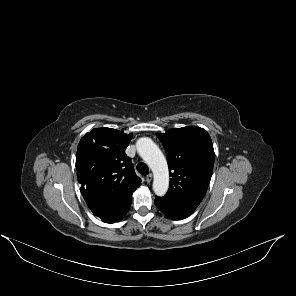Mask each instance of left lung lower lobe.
I'll list each match as a JSON object with an SVG mask.
<instances>
[{
    "instance_id": "0a47b994",
    "label": "left lung lower lobe",
    "mask_w": 296,
    "mask_h": 296,
    "mask_svg": "<svg viewBox=\"0 0 296 296\" xmlns=\"http://www.w3.org/2000/svg\"><path fill=\"white\" fill-rule=\"evenodd\" d=\"M155 205L169 218L173 220L184 219L191 215L195 209L193 208H178L173 206H168L161 203L159 200H154Z\"/></svg>"
}]
</instances>
